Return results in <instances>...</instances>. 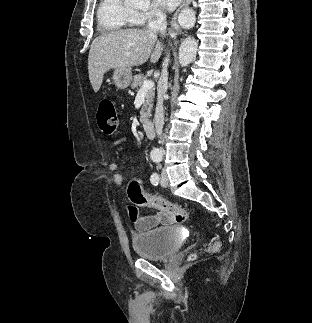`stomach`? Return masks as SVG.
Returning <instances> with one entry per match:
<instances>
[{
	"mask_svg": "<svg viewBox=\"0 0 312 323\" xmlns=\"http://www.w3.org/2000/svg\"><path fill=\"white\" fill-rule=\"evenodd\" d=\"M113 80L119 90H125L131 84L132 72L129 68H116L114 70Z\"/></svg>",
	"mask_w": 312,
	"mask_h": 323,
	"instance_id": "stomach-1",
	"label": "stomach"
}]
</instances>
